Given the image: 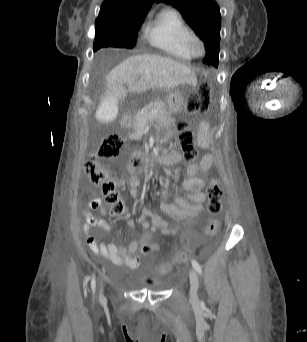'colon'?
I'll return each instance as SVG.
<instances>
[{"mask_svg": "<svg viewBox=\"0 0 307 342\" xmlns=\"http://www.w3.org/2000/svg\"><path fill=\"white\" fill-rule=\"evenodd\" d=\"M198 87L200 93L204 94L201 101L190 100L186 103V113L188 115L200 114L206 111L209 107V95L211 93L210 82H199ZM178 141L179 145L184 153L185 159L188 162L196 161L199 150L194 144V136L189 129L186 121H180L177 124ZM126 145V139L120 134L111 133L102 138L98 146L90 152V157L84 164V171L89 178L91 184L99 186L105 197V202L109 206L110 215L113 217L120 216L124 212V203L119 194L115 190V184L109 180L107 172L102 165L103 160L116 159L121 152L124 151ZM207 209L210 219L205 227V232L209 236H214L219 230V221L217 216L222 210L223 190L221 180L217 176H212L207 188ZM143 246L144 255L146 251H158V244H149L147 241ZM177 264L185 266L187 264L186 258L183 256L184 252H179ZM172 265L170 263H163L158 273L160 275H167L171 272ZM147 282L153 283V278H148Z\"/></svg>", "mask_w": 307, "mask_h": 342, "instance_id": "5ec220e1", "label": "colon"}]
</instances>
